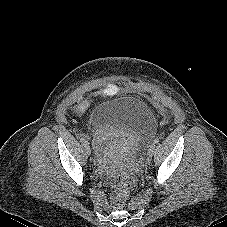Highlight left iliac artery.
Returning <instances> with one entry per match:
<instances>
[{
  "label": "left iliac artery",
  "mask_w": 227,
  "mask_h": 227,
  "mask_svg": "<svg viewBox=\"0 0 227 227\" xmlns=\"http://www.w3.org/2000/svg\"><path fill=\"white\" fill-rule=\"evenodd\" d=\"M158 142H159V139L156 138V139L154 140V143L157 144Z\"/></svg>",
  "instance_id": "obj_1"
}]
</instances>
